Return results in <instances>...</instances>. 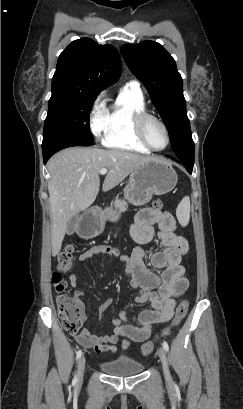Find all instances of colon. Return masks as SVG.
<instances>
[{
	"label": "colon",
	"mask_w": 243,
	"mask_h": 409,
	"mask_svg": "<svg viewBox=\"0 0 243 409\" xmlns=\"http://www.w3.org/2000/svg\"><path fill=\"white\" fill-rule=\"evenodd\" d=\"M152 207L154 210H160L163 207V203L159 200L153 202ZM74 247H66L58 257L57 269L58 271L53 274V283L56 292L60 293L57 298V309L58 314L61 319V323L66 332L75 334L78 333L82 327L83 317L80 311V304L78 301L63 294L67 284L61 277L62 273L71 272L74 267V257H73ZM188 312V302L182 301L176 308L174 318L171 320L166 329L162 332V335H167L173 328L180 325L184 320ZM154 349V343L148 342L144 344L141 348V353L144 356L149 355Z\"/></svg>",
	"instance_id": "obj_1"
}]
</instances>
